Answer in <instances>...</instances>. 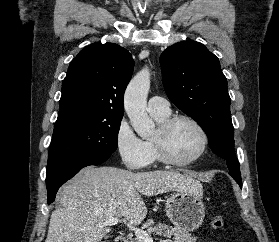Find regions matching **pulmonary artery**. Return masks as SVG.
<instances>
[{"instance_id":"obj_1","label":"pulmonary artery","mask_w":279,"mask_h":242,"mask_svg":"<svg viewBox=\"0 0 279 242\" xmlns=\"http://www.w3.org/2000/svg\"><path fill=\"white\" fill-rule=\"evenodd\" d=\"M148 110L150 112L168 113L170 111L167 99L160 96H153L148 101Z\"/></svg>"}]
</instances>
